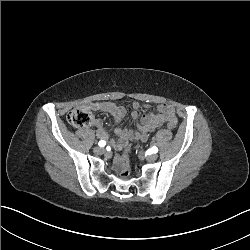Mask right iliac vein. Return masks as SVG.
<instances>
[{
  "instance_id": "1",
  "label": "right iliac vein",
  "mask_w": 250,
  "mask_h": 250,
  "mask_svg": "<svg viewBox=\"0 0 250 250\" xmlns=\"http://www.w3.org/2000/svg\"><path fill=\"white\" fill-rule=\"evenodd\" d=\"M104 151H105V150H104L103 148H101V147H95V148H94V152H95L96 154H102Z\"/></svg>"
}]
</instances>
